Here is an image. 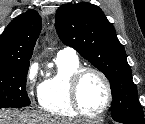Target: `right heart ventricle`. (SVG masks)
Segmentation results:
<instances>
[{
	"label": "right heart ventricle",
	"instance_id": "1",
	"mask_svg": "<svg viewBox=\"0 0 145 124\" xmlns=\"http://www.w3.org/2000/svg\"><path fill=\"white\" fill-rule=\"evenodd\" d=\"M57 70L41 84L38 102L41 109L60 118H74L78 113L72 106L69 93V83L72 74L82 67L77 57L57 55L55 58Z\"/></svg>",
	"mask_w": 145,
	"mask_h": 124
}]
</instances>
